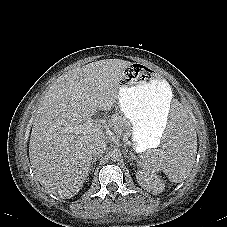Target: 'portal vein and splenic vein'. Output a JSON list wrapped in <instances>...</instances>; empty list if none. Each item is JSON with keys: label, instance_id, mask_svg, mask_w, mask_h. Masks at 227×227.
Segmentation results:
<instances>
[{"label": "portal vein and splenic vein", "instance_id": "18ae733b", "mask_svg": "<svg viewBox=\"0 0 227 227\" xmlns=\"http://www.w3.org/2000/svg\"><path fill=\"white\" fill-rule=\"evenodd\" d=\"M70 132L76 134H87L91 132H98L101 130V125L94 123L92 120L86 121L84 124H77L74 127H69Z\"/></svg>", "mask_w": 227, "mask_h": 227}]
</instances>
